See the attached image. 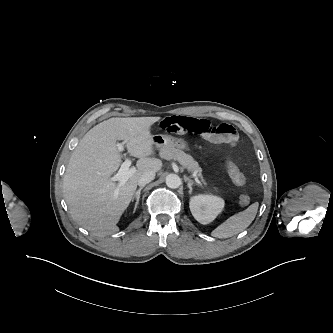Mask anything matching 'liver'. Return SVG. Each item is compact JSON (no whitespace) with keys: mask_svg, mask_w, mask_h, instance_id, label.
Wrapping results in <instances>:
<instances>
[{"mask_svg":"<svg viewBox=\"0 0 333 333\" xmlns=\"http://www.w3.org/2000/svg\"><path fill=\"white\" fill-rule=\"evenodd\" d=\"M160 119L111 118L90 129L80 140L63 179L64 198L73 220L80 226L100 237L119 230L117 223L141 175L162 168V161L152 157L154 139L150 132ZM117 140H123L128 153L139 159L135 173L121 186L111 180L122 162Z\"/></svg>","mask_w":333,"mask_h":333,"instance_id":"liver-1","label":"liver"}]
</instances>
